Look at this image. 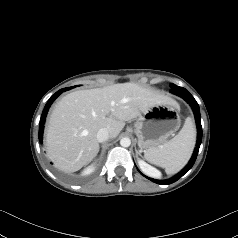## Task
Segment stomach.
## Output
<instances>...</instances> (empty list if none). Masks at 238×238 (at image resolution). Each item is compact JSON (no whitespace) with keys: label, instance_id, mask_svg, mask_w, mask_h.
<instances>
[{"label":"stomach","instance_id":"obj_1","mask_svg":"<svg viewBox=\"0 0 238 238\" xmlns=\"http://www.w3.org/2000/svg\"><path fill=\"white\" fill-rule=\"evenodd\" d=\"M177 105L156 104L139 116L135 133L140 148L149 149L164 144L180 127Z\"/></svg>","mask_w":238,"mask_h":238}]
</instances>
